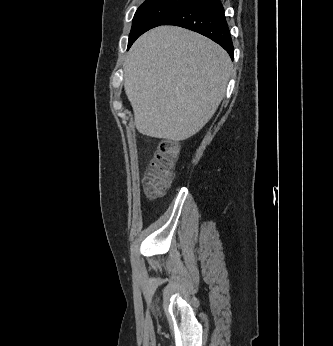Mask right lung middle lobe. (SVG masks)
I'll use <instances>...</instances> for the list:
<instances>
[{
	"label": "right lung middle lobe",
	"instance_id": "obj_1",
	"mask_svg": "<svg viewBox=\"0 0 333 346\" xmlns=\"http://www.w3.org/2000/svg\"><path fill=\"white\" fill-rule=\"evenodd\" d=\"M186 0H146L136 11L131 32L129 35L128 49L133 42L144 32L162 25L172 16Z\"/></svg>",
	"mask_w": 333,
	"mask_h": 346
}]
</instances>
